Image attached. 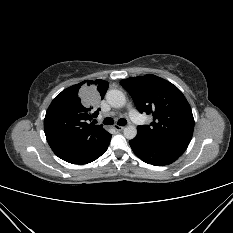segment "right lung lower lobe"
<instances>
[{"mask_svg": "<svg viewBox=\"0 0 233 233\" xmlns=\"http://www.w3.org/2000/svg\"><path fill=\"white\" fill-rule=\"evenodd\" d=\"M111 139V138H110ZM110 142V141H109ZM108 145H109V143L104 147V149L100 152V153H98L95 157H93L92 159H90V160H88L87 162H85V163H82V164H86V163H89V162H92V161H94L95 159H97L98 157H100L102 154H104L105 153V151L107 150V148H108Z\"/></svg>", "mask_w": 233, "mask_h": 233, "instance_id": "98d812e1", "label": "right lung lower lobe"}]
</instances>
